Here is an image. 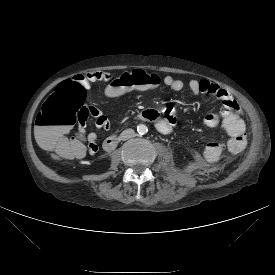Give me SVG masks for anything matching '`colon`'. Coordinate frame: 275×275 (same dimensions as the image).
Returning a JSON list of instances; mask_svg holds the SVG:
<instances>
[{"mask_svg":"<svg viewBox=\"0 0 275 275\" xmlns=\"http://www.w3.org/2000/svg\"><path fill=\"white\" fill-rule=\"evenodd\" d=\"M161 84L159 74L135 71L108 80L105 90L108 95L117 97L146 90L155 91ZM86 94L87 90L80 82L64 81L54 89L37 115V141L43 149L51 151L58 158L69 157L81 151L79 142L66 137L65 132L76 124H85L90 118L92 108L84 104ZM223 104L217 108L220 124L225 129H235L240 124V115L236 109L232 113L225 112ZM146 111L148 113L149 110Z\"/></svg>","mask_w":275,"mask_h":275,"instance_id":"obj_1","label":"colon"}]
</instances>
